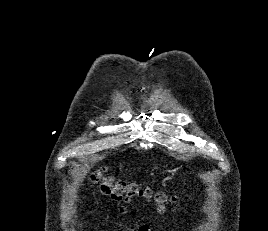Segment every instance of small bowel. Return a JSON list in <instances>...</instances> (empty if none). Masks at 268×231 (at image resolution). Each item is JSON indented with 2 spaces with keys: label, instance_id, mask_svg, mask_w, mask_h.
<instances>
[{
  "label": "small bowel",
  "instance_id": "1",
  "mask_svg": "<svg viewBox=\"0 0 268 231\" xmlns=\"http://www.w3.org/2000/svg\"><path fill=\"white\" fill-rule=\"evenodd\" d=\"M149 225L148 224H142L139 228V231H149Z\"/></svg>",
  "mask_w": 268,
  "mask_h": 231
}]
</instances>
